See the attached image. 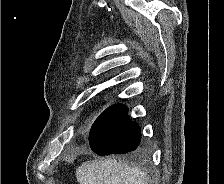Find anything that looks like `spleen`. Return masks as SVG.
Segmentation results:
<instances>
[{"label":"spleen","mask_w":224,"mask_h":184,"mask_svg":"<svg viewBox=\"0 0 224 184\" xmlns=\"http://www.w3.org/2000/svg\"><path fill=\"white\" fill-rule=\"evenodd\" d=\"M76 179L80 184H148L139 167L115 159L83 163L76 169Z\"/></svg>","instance_id":"spleen-1"}]
</instances>
